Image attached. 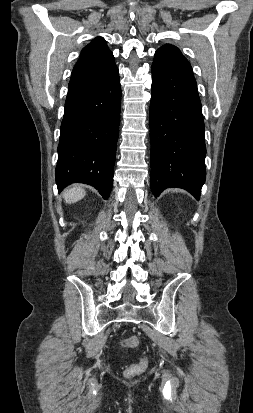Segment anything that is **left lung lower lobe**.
I'll return each instance as SVG.
<instances>
[{"label":"left lung lower lobe","instance_id":"obj_1","mask_svg":"<svg viewBox=\"0 0 253 413\" xmlns=\"http://www.w3.org/2000/svg\"><path fill=\"white\" fill-rule=\"evenodd\" d=\"M151 190L179 187L200 198L205 182V136L201 101L190 63L159 48L151 67Z\"/></svg>","mask_w":253,"mask_h":413}]
</instances>
